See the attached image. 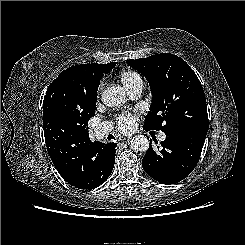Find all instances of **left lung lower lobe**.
I'll return each mask as SVG.
<instances>
[{
  "label": "left lung lower lobe",
  "instance_id": "0a47b994",
  "mask_svg": "<svg viewBox=\"0 0 245 245\" xmlns=\"http://www.w3.org/2000/svg\"><path fill=\"white\" fill-rule=\"evenodd\" d=\"M145 130H149L144 127ZM207 131L189 130L166 135L161 149L154 150L150 144L142 166L154 180L170 185L186 178L197 165Z\"/></svg>",
  "mask_w": 245,
  "mask_h": 245
}]
</instances>
